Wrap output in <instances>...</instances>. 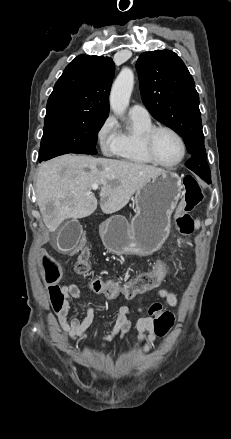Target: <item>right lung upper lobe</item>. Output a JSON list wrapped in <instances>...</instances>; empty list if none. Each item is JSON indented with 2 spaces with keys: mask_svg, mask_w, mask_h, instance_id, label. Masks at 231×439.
Masks as SVG:
<instances>
[{
  "mask_svg": "<svg viewBox=\"0 0 231 439\" xmlns=\"http://www.w3.org/2000/svg\"><path fill=\"white\" fill-rule=\"evenodd\" d=\"M115 66L110 57L79 55L56 82L46 117L65 113L109 114V92Z\"/></svg>",
  "mask_w": 231,
  "mask_h": 439,
  "instance_id": "obj_1",
  "label": "right lung upper lobe"
}]
</instances>
